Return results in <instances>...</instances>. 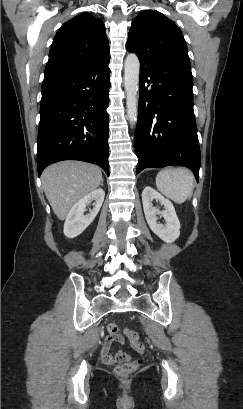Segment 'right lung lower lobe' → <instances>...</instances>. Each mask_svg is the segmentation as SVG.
I'll use <instances>...</instances> for the list:
<instances>
[{"instance_id": "98d812e1", "label": "right lung lower lobe", "mask_w": 243, "mask_h": 409, "mask_svg": "<svg viewBox=\"0 0 243 409\" xmlns=\"http://www.w3.org/2000/svg\"><path fill=\"white\" fill-rule=\"evenodd\" d=\"M109 56L74 72L44 78L38 129V175L50 164L81 160L109 175Z\"/></svg>"}]
</instances>
